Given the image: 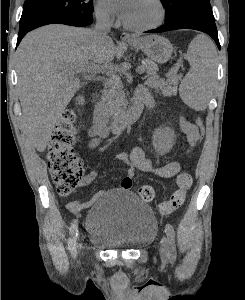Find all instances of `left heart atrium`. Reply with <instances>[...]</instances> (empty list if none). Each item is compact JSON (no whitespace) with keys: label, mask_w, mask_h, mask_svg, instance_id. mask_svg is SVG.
Here are the masks:
<instances>
[{"label":"left heart atrium","mask_w":245,"mask_h":300,"mask_svg":"<svg viewBox=\"0 0 245 300\" xmlns=\"http://www.w3.org/2000/svg\"><path fill=\"white\" fill-rule=\"evenodd\" d=\"M108 1H116V2H119L123 6V9L121 10L120 16H121V18L124 19L126 9H127V5H128L130 0H108Z\"/></svg>","instance_id":"39dd6f15"}]
</instances>
